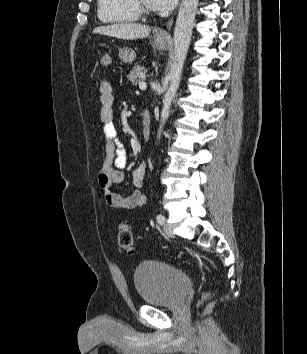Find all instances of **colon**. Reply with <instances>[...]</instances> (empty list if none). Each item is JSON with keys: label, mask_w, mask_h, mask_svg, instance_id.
Returning <instances> with one entry per match:
<instances>
[{"label": "colon", "mask_w": 307, "mask_h": 354, "mask_svg": "<svg viewBox=\"0 0 307 354\" xmlns=\"http://www.w3.org/2000/svg\"><path fill=\"white\" fill-rule=\"evenodd\" d=\"M112 57L110 54L105 53L100 57V64L104 67H108L111 64ZM117 240L119 246L128 254L135 252L133 233L130 226L122 224L119 226ZM207 296V293L204 297Z\"/></svg>", "instance_id": "1"}]
</instances>
